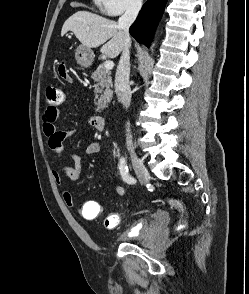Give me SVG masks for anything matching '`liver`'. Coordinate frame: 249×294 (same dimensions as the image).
<instances>
[{
	"label": "liver",
	"mask_w": 249,
	"mask_h": 294,
	"mask_svg": "<svg viewBox=\"0 0 249 294\" xmlns=\"http://www.w3.org/2000/svg\"><path fill=\"white\" fill-rule=\"evenodd\" d=\"M68 31H72L85 47L97 48L103 45L101 52L110 58L117 57L123 49L124 37L118 24L88 11H78L69 17L62 27L61 35L64 36Z\"/></svg>",
	"instance_id": "liver-1"
}]
</instances>
